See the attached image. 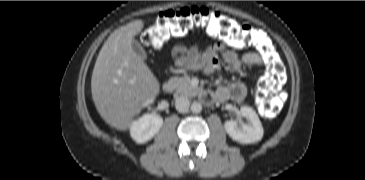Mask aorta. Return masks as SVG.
Segmentation results:
<instances>
[{"instance_id":"762f6f07","label":"aorta","mask_w":365,"mask_h":180,"mask_svg":"<svg viewBox=\"0 0 365 180\" xmlns=\"http://www.w3.org/2000/svg\"><path fill=\"white\" fill-rule=\"evenodd\" d=\"M191 111L193 113H200L202 111V105L199 102H193L191 104Z\"/></svg>"}]
</instances>
